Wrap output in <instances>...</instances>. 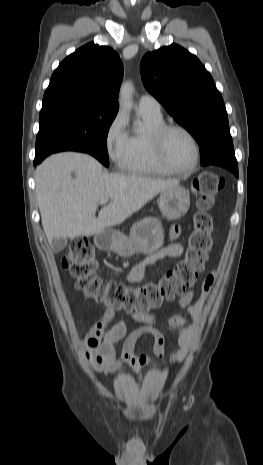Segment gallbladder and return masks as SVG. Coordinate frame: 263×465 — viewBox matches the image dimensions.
I'll return each instance as SVG.
<instances>
[{
	"instance_id": "1",
	"label": "gallbladder",
	"mask_w": 263,
	"mask_h": 465,
	"mask_svg": "<svg viewBox=\"0 0 263 465\" xmlns=\"http://www.w3.org/2000/svg\"><path fill=\"white\" fill-rule=\"evenodd\" d=\"M66 244H67V239L64 237H60V238L54 239L51 247L55 253H58V252H61L65 248Z\"/></svg>"
}]
</instances>
